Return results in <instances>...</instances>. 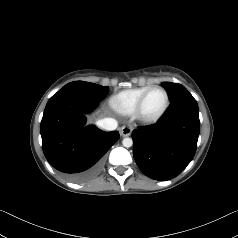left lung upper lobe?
Masks as SVG:
<instances>
[{"mask_svg": "<svg viewBox=\"0 0 238 238\" xmlns=\"http://www.w3.org/2000/svg\"><path fill=\"white\" fill-rule=\"evenodd\" d=\"M162 85L168 91L171 101H173L178 96L188 92V90L184 86L178 83L163 82Z\"/></svg>", "mask_w": 238, "mask_h": 238, "instance_id": "left-lung-upper-lobe-1", "label": "left lung upper lobe"}]
</instances>
